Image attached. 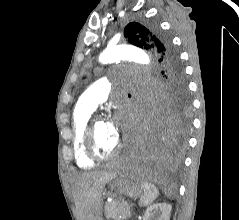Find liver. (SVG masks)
<instances>
[{
    "label": "liver",
    "instance_id": "1",
    "mask_svg": "<svg viewBox=\"0 0 239 220\" xmlns=\"http://www.w3.org/2000/svg\"><path fill=\"white\" fill-rule=\"evenodd\" d=\"M118 171L83 173L73 179V194L80 220H98L102 209V191L117 177Z\"/></svg>",
    "mask_w": 239,
    "mask_h": 220
}]
</instances>
